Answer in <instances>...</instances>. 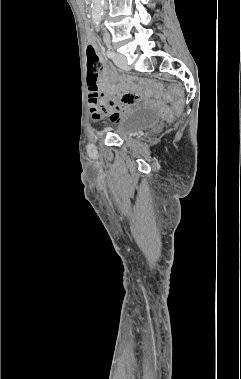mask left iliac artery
<instances>
[{"label":"left iliac artery","instance_id":"1","mask_svg":"<svg viewBox=\"0 0 241 379\" xmlns=\"http://www.w3.org/2000/svg\"><path fill=\"white\" fill-rule=\"evenodd\" d=\"M106 54H107V56H108L109 58H114V57H115V53H114V51L111 50L109 44H108V50H107Z\"/></svg>","mask_w":241,"mask_h":379}]
</instances>
